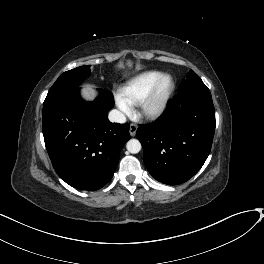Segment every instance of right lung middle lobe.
Listing matches in <instances>:
<instances>
[{
  "mask_svg": "<svg viewBox=\"0 0 264 264\" xmlns=\"http://www.w3.org/2000/svg\"><path fill=\"white\" fill-rule=\"evenodd\" d=\"M90 75V66H80L64 72L50 88L45 103L53 101L62 95L79 87V85Z\"/></svg>",
  "mask_w": 264,
  "mask_h": 264,
  "instance_id": "1",
  "label": "right lung middle lobe"
}]
</instances>
